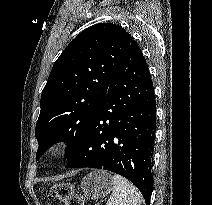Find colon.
<instances>
[{"mask_svg": "<svg viewBox=\"0 0 212 205\" xmlns=\"http://www.w3.org/2000/svg\"><path fill=\"white\" fill-rule=\"evenodd\" d=\"M48 198L59 201L63 205H84L83 200L77 194L70 183H57L51 186L47 192Z\"/></svg>", "mask_w": 212, "mask_h": 205, "instance_id": "obj_1", "label": "colon"}]
</instances>
